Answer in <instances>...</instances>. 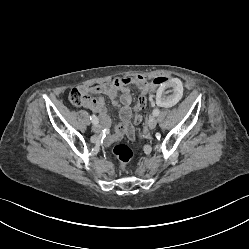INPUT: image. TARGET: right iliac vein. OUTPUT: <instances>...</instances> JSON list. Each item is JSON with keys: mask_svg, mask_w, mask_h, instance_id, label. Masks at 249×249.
Returning a JSON list of instances; mask_svg holds the SVG:
<instances>
[{"mask_svg": "<svg viewBox=\"0 0 249 249\" xmlns=\"http://www.w3.org/2000/svg\"><path fill=\"white\" fill-rule=\"evenodd\" d=\"M92 130H93V132H95V133H99L100 130H101V128H100V126H99L98 124H93Z\"/></svg>", "mask_w": 249, "mask_h": 249, "instance_id": "63e3f726", "label": "right iliac vein"}]
</instances>
